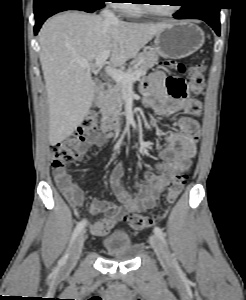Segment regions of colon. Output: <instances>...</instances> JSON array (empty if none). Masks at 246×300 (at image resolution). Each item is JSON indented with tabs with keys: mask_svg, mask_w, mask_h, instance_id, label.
<instances>
[{
	"mask_svg": "<svg viewBox=\"0 0 246 300\" xmlns=\"http://www.w3.org/2000/svg\"><path fill=\"white\" fill-rule=\"evenodd\" d=\"M168 69L177 71L181 74L185 73L184 64L168 60L164 62ZM186 84V91L190 94H199L205 85L204 67L201 64L192 66L189 70V77ZM201 106L195 103L190 108L192 115H199ZM99 124L98 115L90 113L76 133L68 138L50 145L51 165L55 170H65L75 159L83 153V144L87 135L93 133ZM188 180L187 170L178 171L170 181L166 193V201L169 204L174 203L181 195ZM164 213L155 216H146L136 213L127 214L125 222L133 229L145 230L151 227L157 221L163 219Z\"/></svg>",
	"mask_w": 246,
	"mask_h": 300,
	"instance_id": "colon-1",
	"label": "colon"
}]
</instances>
